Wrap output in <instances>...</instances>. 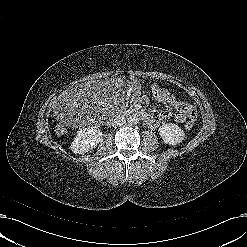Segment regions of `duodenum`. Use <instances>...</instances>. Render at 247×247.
Wrapping results in <instances>:
<instances>
[{"label":"duodenum","mask_w":247,"mask_h":247,"mask_svg":"<svg viewBox=\"0 0 247 247\" xmlns=\"http://www.w3.org/2000/svg\"><path fill=\"white\" fill-rule=\"evenodd\" d=\"M125 113L128 116H136V117L142 119L146 123H150L152 121L151 117L147 113H145V112H143V111H141L139 109H136V108L129 109ZM118 117H120V115H118V114L112 116V118H118Z\"/></svg>","instance_id":"duodenum-1"}]
</instances>
